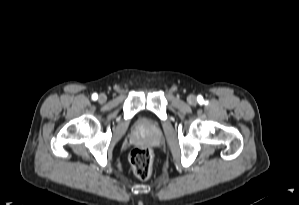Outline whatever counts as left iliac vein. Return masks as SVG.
<instances>
[{
	"label": "left iliac vein",
	"instance_id": "4c4485c4",
	"mask_svg": "<svg viewBox=\"0 0 299 205\" xmlns=\"http://www.w3.org/2000/svg\"><path fill=\"white\" fill-rule=\"evenodd\" d=\"M187 101H188V103L191 104V105H195L196 102H197L196 97H195L194 95H190V96H188Z\"/></svg>",
	"mask_w": 299,
	"mask_h": 205
}]
</instances>
